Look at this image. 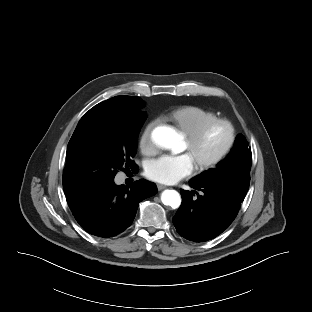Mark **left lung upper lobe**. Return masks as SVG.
Instances as JSON below:
<instances>
[{
    "mask_svg": "<svg viewBox=\"0 0 312 312\" xmlns=\"http://www.w3.org/2000/svg\"><path fill=\"white\" fill-rule=\"evenodd\" d=\"M251 148L243 135H239L230 154L215 168L193 178L195 182L220 184L244 200L250 184Z\"/></svg>",
    "mask_w": 312,
    "mask_h": 312,
    "instance_id": "obj_1",
    "label": "left lung upper lobe"
}]
</instances>
